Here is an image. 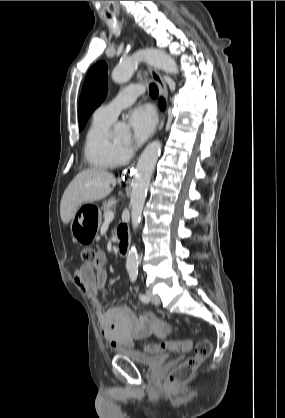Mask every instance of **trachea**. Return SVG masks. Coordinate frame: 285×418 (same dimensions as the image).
Returning <instances> with one entry per match:
<instances>
[{"mask_svg": "<svg viewBox=\"0 0 285 418\" xmlns=\"http://www.w3.org/2000/svg\"><path fill=\"white\" fill-rule=\"evenodd\" d=\"M149 93L151 97L156 98L158 96V88L154 83L149 85Z\"/></svg>", "mask_w": 285, "mask_h": 418, "instance_id": "obj_1", "label": "trachea"}]
</instances>
